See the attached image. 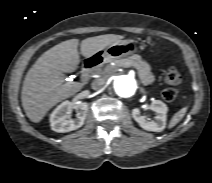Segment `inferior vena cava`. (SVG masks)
<instances>
[{
    "label": "inferior vena cava",
    "mask_w": 212,
    "mask_h": 183,
    "mask_svg": "<svg viewBox=\"0 0 212 183\" xmlns=\"http://www.w3.org/2000/svg\"><path fill=\"white\" fill-rule=\"evenodd\" d=\"M105 84L104 79H96L92 82L91 87L93 90H99L101 89Z\"/></svg>",
    "instance_id": "obj_1"
}]
</instances>
